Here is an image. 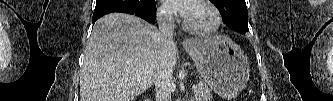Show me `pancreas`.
I'll return each instance as SVG.
<instances>
[{"instance_id":"cf45deb5","label":"pancreas","mask_w":333,"mask_h":101,"mask_svg":"<svg viewBox=\"0 0 333 101\" xmlns=\"http://www.w3.org/2000/svg\"><path fill=\"white\" fill-rule=\"evenodd\" d=\"M194 97L196 101H211L212 94L208 85L206 83L199 84L194 90Z\"/></svg>"}]
</instances>
